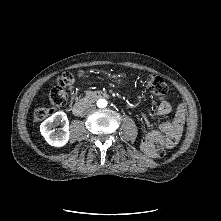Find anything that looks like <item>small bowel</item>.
<instances>
[{
    "mask_svg": "<svg viewBox=\"0 0 221 221\" xmlns=\"http://www.w3.org/2000/svg\"><path fill=\"white\" fill-rule=\"evenodd\" d=\"M170 111L171 104L166 100H162L157 108V116L163 118L168 115ZM143 117L148 131L142 139L141 146L145 153L152 155L155 149V143H160L163 139V135L168 136V138L171 140V146L178 141L185 119V109L182 105H179L175 113V118L172 121H167L160 124L158 130L151 128L149 119L146 115H143Z\"/></svg>",
    "mask_w": 221,
    "mask_h": 221,
    "instance_id": "c3829d8e",
    "label": "small bowel"
}]
</instances>
